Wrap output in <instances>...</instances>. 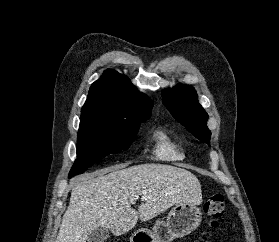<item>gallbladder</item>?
<instances>
[{
    "label": "gallbladder",
    "mask_w": 279,
    "mask_h": 242,
    "mask_svg": "<svg viewBox=\"0 0 279 242\" xmlns=\"http://www.w3.org/2000/svg\"><path fill=\"white\" fill-rule=\"evenodd\" d=\"M109 238V230L103 227L95 229L87 238V242H105Z\"/></svg>",
    "instance_id": "1"
}]
</instances>
